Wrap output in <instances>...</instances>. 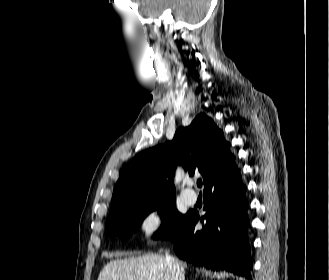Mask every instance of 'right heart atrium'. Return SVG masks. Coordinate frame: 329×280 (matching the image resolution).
Listing matches in <instances>:
<instances>
[{
  "label": "right heart atrium",
  "mask_w": 329,
  "mask_h": 280,
  "mask_svg": "<svg viewBox=\"0 0 329 280\" xmlns=\"http://www.w3.org/2000/svg\"><path fill=\"white\" fill-rule=\"evenodd\" d=\"M165 212L160 206H151L141 216L139 220V233L144 239L155 237L163 228Z\"/></svg>",
  "instance_id": "right-heart-atrium-1"
}]
</instances>
